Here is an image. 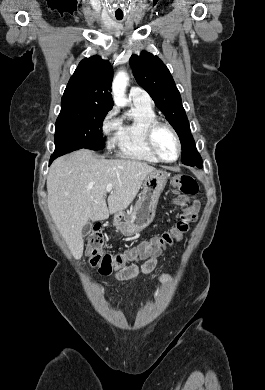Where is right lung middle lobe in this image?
Returning a JSON list of instances; mask_svg holds the SVG:
<instances>
[{"label": "right lung middle lobe", "instance_id": "1", "mask_svg": "<svg viewBox=\"0 0 265 390\" xmlns=\"http://www.w3.org/2000/svg\"><path fill=\"white\" fill-rule=\"evenodd\" d=\"M110 109L93 104L61 103L55 125V153L88 148L102 150V122Z\"/></svg>", "mask_w": 265, "mask_h": 390}]
</instances>
